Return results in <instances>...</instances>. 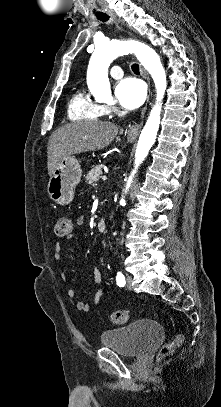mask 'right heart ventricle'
Instances as JSON below:
<instances>
[{"mask_svg":"<svg viewBox=\"0 0 221 407\" xmlns=\"http://www.w3.org/2000/svg\"><path fill=\"white\" fill-rule=\"evenodd\" d=\"M107 112L103 106L89 98L82 88H77L70 96L67 116L70 120H98Z\"/></svg>","mask_w":221,"mask_h":407,"instance_id":"e07e8e85","label":"right heart ventricle"}]
</instances>
